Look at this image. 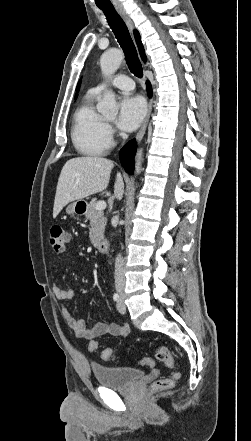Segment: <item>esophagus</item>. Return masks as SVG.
Segmentation results:
<instances>
[{
	"mask_svg": "<svg viewBox=\"0 0 251 441\" xmlns=\"http://www.w3.org/2000/svg\"><path fill=\"white\" fill-rule=\"evenodd\" d=\"M118 12H119L120 15L122 16V18L124 19V21L126 22V24L128 25V27L132 30L133 25H132L131 19L129 18V16H128L127 13L125 12V10H124L123 8H118ZM152 107H153V102H152V100H150V101H149V106H148V111H147L146 118H145V120H144V122H143V124H142V126H141V128H140V130H139V132L137 133V135H136V137H135V139H136L137 141L141 140L142 137H143L144 134H145V131H146V128H147V125H148L149 119H150V115H151V112H152Z\"/></svg>",
	"mask_w": 251,
	"mask_h": 441,
	"instance_id": "34e87169",
	"label": "esophagus"
}]
</instances>
